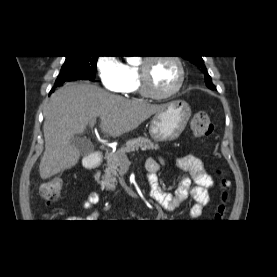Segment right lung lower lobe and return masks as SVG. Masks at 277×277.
Segmentation results:
<instances>
[{"mask_svg":"<svg viewBox=\"0 0 277 277\" xmlns=\"http://www.w3.org/2000/svg\"><path fill=\"white\" fill-rule=\"evenodd\" d=\"M75 79H82V78L77 76V75L59 76L57 78V80H56V82L54 84V88L51 90V92H53L56 87H59L60 85H62L65 81L75 80Z\"/></svg>","mask_w":277,"mask_h":277,"instance_id":"right-lung-lower-lobe-1","label":"right lung lower lobe"}]
</instances>
